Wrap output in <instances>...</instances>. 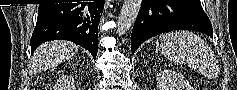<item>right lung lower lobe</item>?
<instances>
[{
  "label": "right lung lower lobe",
  "instance_id": "right-lung-lower-lobe-1",
  "mask_svg": "<svg viewBox=\"0 0 237 90\" xmlns=\"http://www.w3.org/2000/svg\"><path fill=\"white\" fill-rule=\"evenodd\" d=\"M104 1L40 4L31 38L32 54L44 42L61 39L98 52V23Z\"/></svg>",
  "mask_w": 237,
  "mask_h": 90
}]
</instances>
